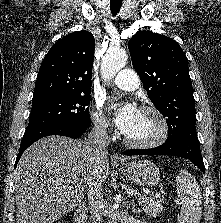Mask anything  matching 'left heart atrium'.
I'll return each instance as SVG.
<instances>
[{
	"label": "left heart atrium",
	"instance_id": "39dd6f15",
	"mask_svg": "<svg viewBox=\"0 0 221 223\" xmlns=\"http://www.w3.org/2000/svg\"><path fill=\"white\" fill-rule=\"evenodd\" d=\"M111 108L115 112V124L123 134H126L131 129L138 116V109L132 104H126L123 107H117V105H112Z\"/></svg>",
	"mask_w": 221,
	"mask_h": 223
}]
</instances>
